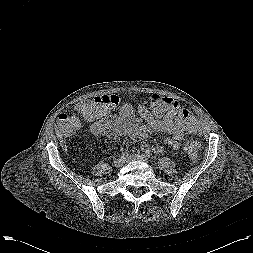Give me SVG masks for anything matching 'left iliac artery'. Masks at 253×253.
I'll list each match as a JSON object with an SVG mask.
<instances>
[{"label":"left iliac artery","instance_id":"1","mask_svg":"<svg viewBox=\"0 0 253 253\" xmlns=\"http://www.w3.org/2000/svg\"><path fill=\"white\" fill-rule=\"evenodd\" d=\"M143 158H148L149 157V155H147V154H144V155H141Z\"/></svg>","mask_w":253,"mask_h":253}]
</instances>
